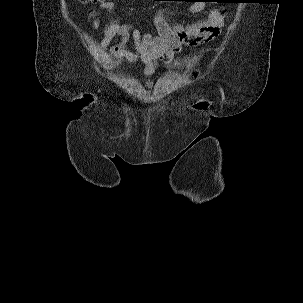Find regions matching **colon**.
<instances>
[{"label": "colon", "mask_w": 303, "mask_h": 303, "mask_svg": "<svg viewBox=\"0 0 303 303\" xmlns=\"http://www.w3.org/2000/svg\"><path fill=\"white\" fill-rule=\"evenodd\" d=\"M81 2L87 4V3H90V2H94V0H81Z\"/></svg>", "instance_id": "1"}]
</instances>
